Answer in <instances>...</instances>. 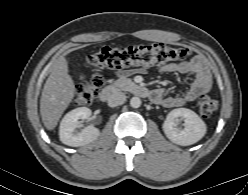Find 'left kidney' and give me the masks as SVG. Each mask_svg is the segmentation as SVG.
Returning <instances> with one entry per match:
<instances>
[{
	"mask_svg": "<svg viewBox=\"0 0 248 195\" xmlns=\"http://www.w3.org/2000/svg\"><path fill=\"white\" fill-rule=\"evenodd\" d=\"M184 120V128L177 127V121ZM206 124L192 110L187 108L173 109L167 115L163 124V131L166 137L173 143L181 146H188L196 143L206 133Z\"/></svg>",
	"mask_w": 248,
	"mask_h": 195,
	"instance_id": "5707ae66",
	"label": "left kidney"
}]
</instances>
